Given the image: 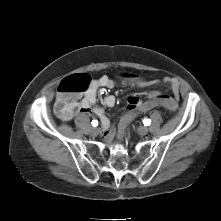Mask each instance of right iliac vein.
Masks as SVG:
<instances>
[{
  "label": "right iliac vein",
  "instance_id": "right-iliac-vein-1",
  "mask_svg": "<svg viewBox=\"0 0 221 221\" xmlns=\"http://www.w3.org/2000/svg\"><path fill=\"white\" fill-rule=\"evenodd\" d=\"M90 132H91V134H92L93 136H96V135L99 134V129H98V128H92Z\"/></svg>",
  "mask_w": 221,
  "mask_h": 221
}]
</instances>
